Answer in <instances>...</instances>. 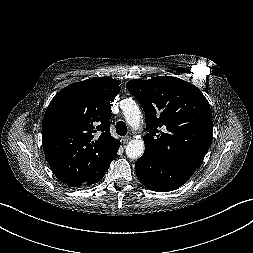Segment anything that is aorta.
<instances>
[{
  "instance_id": "aorta-1",
  "label": "aorta",
  "mask_w": 253,
  "mask_h": 253,
  "mask_svg": "<svg viewBox=\"0 0 253 253\" xmlns=\"http://www.w3.org/2000/svg\"><path fill=\"white\" fill-rule=\"evenodd\" d=\"M121 108L127 124L134 129L138 128L141 121V111L137 103L132 99H126L122 102ZM144 149L143 140L132 139L126 146V155L130 159H137L144 153Z\"/></svg>"
}]
</instances>
